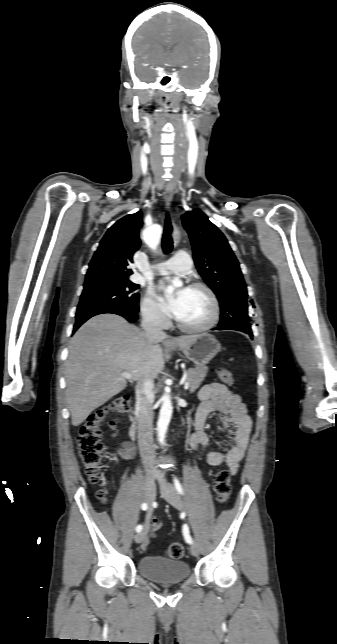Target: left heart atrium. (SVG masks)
Instances as JSON below:
<instances>
[{
    "label": "left heart atrium",
    "mask_w": 337,
    "mask_h": 644,
    "mask_svg": "<svg viewBox=\"0 0 337 644\" xmlns=\"http://www.w3.org/2000/svg\"><path fill=\"white\" fill-rule=\"evenodd\" d=\"M165 285H161V289H164ZM187 289L179 290L175 295L170 297L162 298V305L164 309L169 312L171 315L176 316L179 312L182 303L184 301Z\"/></svg>",
    "instance_id": "left-heart-atrium-1"
}]
</instances>
